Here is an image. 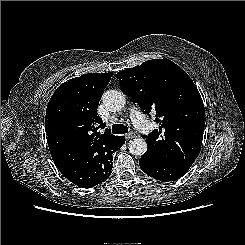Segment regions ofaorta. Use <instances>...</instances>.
Segmentation results:
<instances>
[{"label": "aorta", "mask_w": 245, "mask_h": 245, "mask_svg": "<svg viewBox=\"0 0 245 245\" xmlns=\"http://www.w3.org/2000/svg\"><path fill=\"white\" fill-rule=\"evenodd\" d=\"M103 104L109 111H121L125 104V95L117 90H108L103 94ZM129 152L135 156H142L147 151V143L143 138H135L128 143Z\"/></svg>", "instance_id": "aorta-1"}]
</instances>
